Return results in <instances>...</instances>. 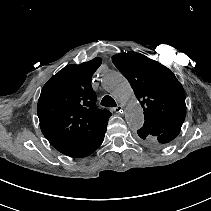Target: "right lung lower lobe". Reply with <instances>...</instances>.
<instances>
[{"mask_svg": "<svg viewBox=\"0 0 211 211\" xmlns=\"http://www.w3.org/2000/svg\"><path fill=\"white\" fill-rule=\"evenodd\" d=\"M108 120L96 131L53 146L64 155L81 158L92 154L103 142Z\"/></svg>", "mask_w": 211, "mask_h": 211, "instance_id": "right-lung-lower-lobe-1", "label": "right lung lower lobe"}]
</instances>
